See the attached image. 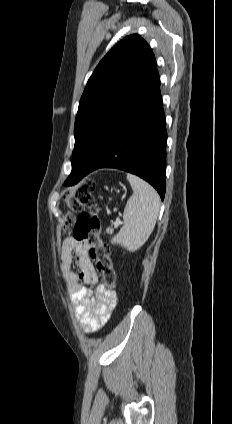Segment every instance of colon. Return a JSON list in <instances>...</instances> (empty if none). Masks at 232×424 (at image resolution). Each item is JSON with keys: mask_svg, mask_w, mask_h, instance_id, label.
Listing matches in <instances>:
<instances>
[{"mask_svg": "<svg viewBox=\"0 0 232 424\" xmlns=\"http://www.w3.org/2000/svg\"><path fill=\"white\" fill-rule=\"evenodd\" d=\"M93 191L94 182L88 179L77 188L65 192L64 231L68 232L72 229L76 240L87 243L89 255L96 261L105 286L112 289L116 285L117 274L107 245L101 239L100 215L95 210H86L94 204Z\"/></svg>", "mask_w": 232, "mask_h": 424, "instance_id": "obj_1", "label": "colon"}]
</instances>
